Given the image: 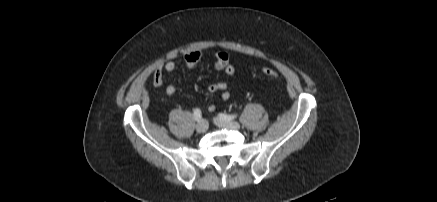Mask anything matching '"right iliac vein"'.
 Segmentation results:
<instances>
[{
  "instance_id": "right-iliac-vein-1",
  "label": "right iliac vein",
  "mask_w": 437,
  "mask_h": 202,
  "mask_svg": "<svg viewBox=\"0 0 437 202\" xmlns=\"http://www.w3.org/2000/svg\"><path fill=\"white\" fill-rule=\"evenodd\" d=\"M208 129V122L206 120H200L196 125V130L199 133H204Z\"/></svg>"
}]
</instances>
